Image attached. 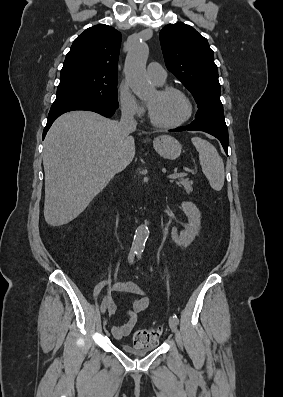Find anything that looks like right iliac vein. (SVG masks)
<instances>
[{
    "mask_svg": "<svg viewBox=\"0 0 283 397\" xmlns=\"http://www.w3.org/2000/svg\"><path fill=\"white\" fill-rule=\"evenodd\" d=\"M106 308H107V301L105 299L104 301V305L101 306V313L104 314L106 312Z\"/></svg>",
    "mask_w": 283,
    "mask_h": 397,
    "instance_id": "63e3f726",
    "label": "right iliac vein"
}]
</instances>
